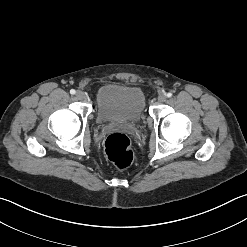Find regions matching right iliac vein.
Masks as SVG:
<instances>
[{
    "label": "right iliac vein",
    "instance_id": "1",
    "mask_svg": "<svg viewBox=\"0 0 247 247\" xmlns=\"http://www.w3.org/2000/svg\"><path fill=\"white\" fill-rule=\"evenodd\" d=\"M76 98L79 100H83L85 98V94L82 91H77Z\"/></svg>",
    "mask_w": 247,
    "mask_h": 247
}]
</instances>
